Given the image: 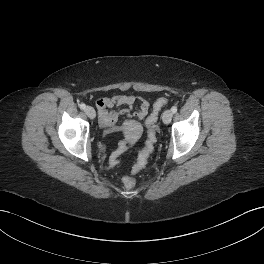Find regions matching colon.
Here are the masks:
<instances>
[{
    "mask_svg": "<svg viewBox=\"0 0 264 264\" xmlns=\"http://www.w3.org/2000/svg\"><path fill=\"white\" fill-rule=\"evenodd\" d=\"M168 99L166 97H160L156 100L153 106V110L151 114L146 119V127H147V139L145 143V147L140 151L137 159V163L135 164L132 173L125 176L123 178V184L126 188H131L135 184L134 175L142 170L148 161L150 154L152 153L157 137V128L156 122L158 119L159 112L161 109L167 104Z\"/></svg>",
    "mask_w": 264,
    "mask_h": 264,
    "instance_id": "1",
    "label": "colon"
}]
</instances>
